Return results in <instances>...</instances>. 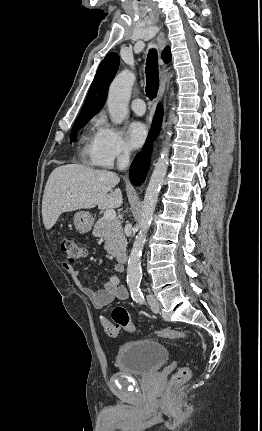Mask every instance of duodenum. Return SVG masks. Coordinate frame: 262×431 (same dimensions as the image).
<instances>
[{"label":"duodenum","mask_w":262,"mask_h":431,"mask_svg":"<svg viewBox=\"0 0 262 431\" xmlns=\"http://www.w3.org/2000/svg\"><path fill=\"white\" fill-rule=\"evenodd\" d=\"M127 261H128V256H127V254H125V253H121V254L118 256V262H119V263L124 264V263H126Z\"/></svg>","instance_id":"1"}]
</instances>
